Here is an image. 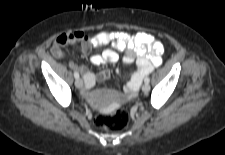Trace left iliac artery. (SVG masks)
<instances>
[{"label":"left iliac artery","instance_id":"44dca946","mask_svg":"<svg viewBox=\"0 0 225 155\" xmlns=\"http://www.w3.org/2000/svg\"><path fill=\"white\" fill-rule=\"evenodd\" d=\"M144 81H145V83H149V82H150V78H149V77H146V78L144 79Z\"/></svg>","mask_w":225,"mask_h":155}]
</instances>
